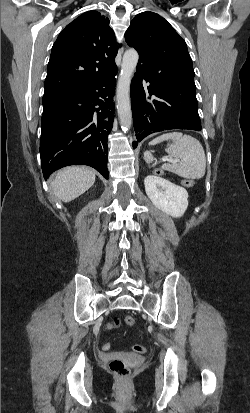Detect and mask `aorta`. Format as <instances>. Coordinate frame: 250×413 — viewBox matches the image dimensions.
I'll list each match as a JSON object with an SVG mask.
<instances>
[{
  "mask_svg": "<svg viewBox=\"0 0 250 413\" xmlns=\"http://www.w3.org/2000/svg\"><path fill=\"white\" fill-rule=\"evenodd\" d=\"M139 55L135 49L127 50L123 55L121 73L117 84V111L121 128L128 131L132 124L130 106V83L132 74L137 66Z\"/></svg>",
  "mask_w": 250,
  "mask_h": 413,
  "instance_id": "1",
  "label": "aorta"
}]
</instances>
